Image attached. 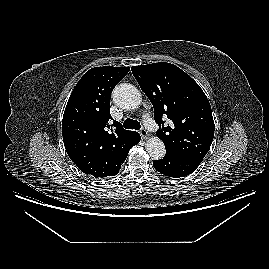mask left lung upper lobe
<instances>
[{
    "label": "left lung upper lobe",
    "mask_w": 269,
    "mask_h": 269,
    "mask_svg": "<svg viewBox=\"0 0 269 269\" xmlns=\"http://www.w3.org/2000/svg\"><path fill=\"white\" fill-rule=\"evenodd\" d=\"M132 73L154 107L157 136L166 154L203 159L214 137L210 103L200 86L170 63L133 66ZM162 118L170 120L164 127ZM162 126V128H161Z\"/></svg>",
    "instance_id": "obj_1"
}]
</instances>
